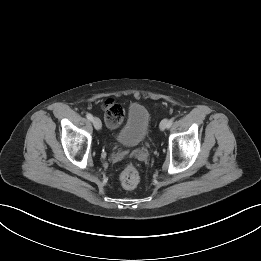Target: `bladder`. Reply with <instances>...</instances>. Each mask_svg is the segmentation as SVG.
Segmentation results:
<instances>
[{
    "label": "bladder",
    "mask_w": 261,
    "mask_h": 261,
    "mask_svg": "<svg viewBox=\"0 0 261 261\" xmlns=\"http://www.w3.org/2000/svg\"><path fill=\"white\" fill-rule=\"evenodd\" d=\"M150 130V114L138 103L131 104L123 125L118 129L116 141L125 147H136L145 141Z\"/></svg>",
    "instance_id": "bladder-1"
}]
</instances>
